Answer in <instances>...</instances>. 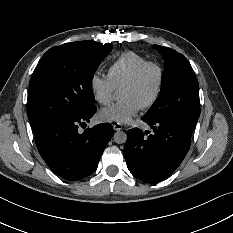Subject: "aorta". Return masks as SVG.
Segmentation results:
<instances>
[{"label":"aorta","instance_id":"1","mask_svg":"<svg viewBox=\"0 0 233 233\" xmlns=\"http://www.w3.org/2000/svg\"><path fill=\"white\" fill-rule=\"evenodd\" d=\"M114 95H116V92H114ZM115 100H116V97H115ZM113 137H114V141L118 144L125 143L127 140V134L121 130L117 131Z\"/></svg>","mask_w":233,"mask_h":233}]
</instances>
